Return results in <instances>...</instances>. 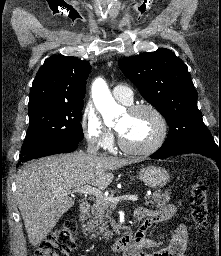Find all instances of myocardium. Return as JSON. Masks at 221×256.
Returning a JSON list of instances; mask_svg holds the SVG:
<instances>
[{
  "mask_svg": "<svg viewBox=\"0 0 221 256\" xmlns=\"http://www.w3.org/2000/svg\"><path fill=\"white\" fill-rule=\"evenodd\" d=\"M140 111L150 112L156 119L158 123V134L156 138L148 145L143 147H133L128 145L122 138L121 134L119 135V146L120 148L132 155H149L156 152L162 147L166 138L168 136V122L163 115V113L153 104L150 103H138L129 106L128 113L135 114Z\"/></svg>",
  "mask_w": 221,
  "mask_h": 256,
  "instance_id": "myocardium-1",
  "label": "myocardium"
}]
</instances>
